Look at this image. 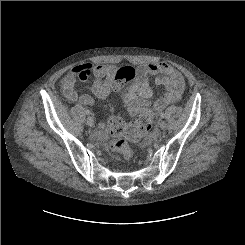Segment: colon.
Returning <instances> with one entry per match:
<instances>
[{
	"label": "colon",
	"mask_w": 245,
	"mask_h": 245,
	"mask_svg": "<svg viewBox=\"0 0 245 245\" xmlns=\"http://www.w3.org/2000/svg\"><path fill=\"white\" fill-rule=\"evenodd\" d=\"M132 78V71L125 68L124 72L117 79V84L128 82ZM110 127L115 134L112 147L119 152L125 160L132 157V150L128 143V138L137 140L145 134L151 126L147 115L138 117L132 124L127 125L121 118L112 116L109 120Z\"/></svg>",
	"instance_id": "colon-1"
}]
</instances>
